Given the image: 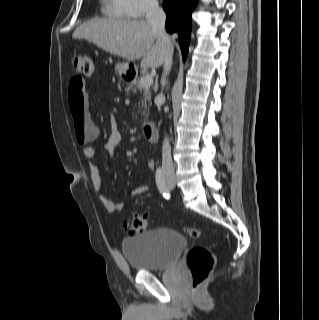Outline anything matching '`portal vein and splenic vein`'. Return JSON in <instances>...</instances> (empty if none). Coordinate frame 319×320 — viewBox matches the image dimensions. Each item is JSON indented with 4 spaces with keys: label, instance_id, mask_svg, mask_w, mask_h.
Masks as SVG:
<instances>
[{
    "label": "portal vein and splenic vein",
    "instance_id": "obj_1",
    "mask_svg": "<svg viewBox=\"0 0 319 320\" xmlns=\"http://www.w3.org/2000/svg\"><path fill=\"white\" fill-rule=\"evenodd\" d=\"M140 83L142 86L150 87L153 84V77L151 75H145L141 78Z\"/></svg>",
    "mask_w": 319,
    "mask_h": 320
}]
</instances>
